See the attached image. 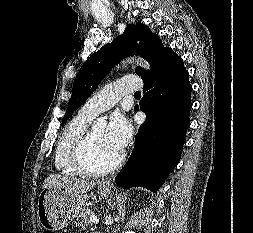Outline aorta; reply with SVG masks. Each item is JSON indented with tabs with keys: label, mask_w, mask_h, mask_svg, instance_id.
I'll return each mask as SVG.
<instances>
[{
	"label": "aorta",
	"mask_w": 253,
	"mask_h": 233,
	"mask_svg": "<svg viewBox=\"0 0 253 233\" xmlns=\"http://www.w3.org/2000/svg\"><path fill=\"white\" fill-rule=\"evenodd\" d=\"M134 61H135L137 64H139L140 66L144 67L145 69H149V65H148V63H147L145 60L139 58V59H137V60H134V59H133V62H134ZM105 124H106V122H105L104 119L98 118V119L94 122V127L104 126Z\"/></svg>",
	"instance_id": "1"
}]
</instances>
